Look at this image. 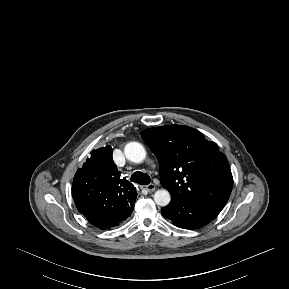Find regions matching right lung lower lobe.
Returning a JSON list of instances; mask_svg holds the SVG:
<instances>
[{
	"mask_svg": "<svg viewBox=\"0 0 289 289\" xmlns=\"http://www.w3.org/2000/svg\"><path fill=\"white\" fill-rule=\"evenodd\" d=\"M134 204L122 206L115 211L100 216L84 215L88 222L101 230L109 229L126 220L132 213Z\"/></svg>",
	"mask_w": 289,
	"mask_h": 289,
	"instance_id": "obj_1",
	"label": "right lung lower lobe"
}]
</instances>
